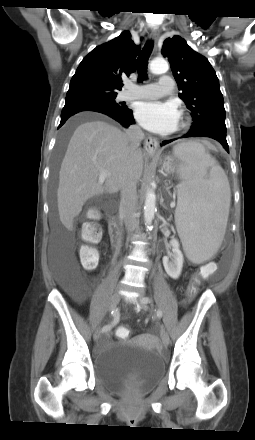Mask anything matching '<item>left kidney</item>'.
<instances>
[{
  "label": "left kidney",
  "mask_w": 255,
  "mask_h": 440,
  "mask_svg": "<svg viewBox=\"0 0 255 440\" xmlns=\"http://www.w3.org/2000/svg\"><path fill=\"white\" fill-rule=\"evenodd\" d=\"M170 244L172 253L163 257V265L171 278L178 279L183 267V254L179 248V242L175 238H172Z\"/></svg>",
  "instance_id": "5707ae66"
}]
</instances>
